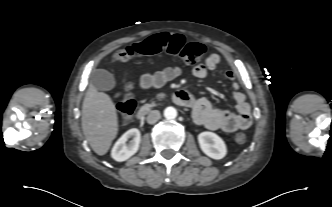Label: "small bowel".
<instances>
[{
    "instance_id": "c3829d8e",
    "label": "small bowel",
    "mask_w": 332,
    "mask_h": 207,
    "mask_svg": "<svg viewBox=\"0 0 332 207\" xmlns=\"http://www.w3.org/2000/svg\"><path fill=\"white\" fill-rule=\"evenodd\" d=\"M219 64V56L211 54L205 62L198 63L193 67V75L197 78H204L209 72L216 70ZM180 74L181 69L179 67H163L155 73L143 75L139 79V86L141 89L161 88ZM225 76L232 87V96L236 102L237 112L231 113L214 108L208 99L197 98L194 99V104L192 105L194 120L210 130L234 132L247 129L252 124L250 104L240 90L235 73L232 70H227Z\"/></svg>"
}]
</instances>
